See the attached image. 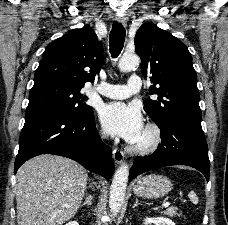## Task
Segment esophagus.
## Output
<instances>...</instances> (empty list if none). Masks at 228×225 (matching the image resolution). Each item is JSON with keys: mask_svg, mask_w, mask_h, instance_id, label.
<instances>
[{"mask_svg": "<svg viewBox=\"0 0 228 225\" xmlns=\"http://www.w3.org/2000/svg\"><path fill=\"white\" fill-rule=\"evenodd\" d=\"M117 22L121 23L122 25H127V20L124 17H116ZM113 158L116 164H121L124 160V153L115 148L113 150Z\"/></svg>", "mask_w": 228, "mask_h": 225, "instance_id": "obj_1", "label": "esophagus"}]
</instances>
